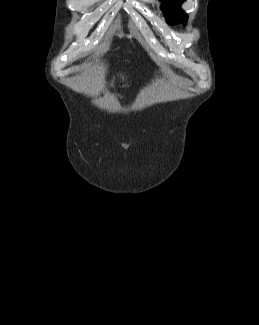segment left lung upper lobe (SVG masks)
Segmentation results:
<instances>
[{"mask_svg":"<svg viewBox=\"0 0 259 325\" xmlns=\"http://www.w3.org/2000/svg\"><path fill=\"white\" fill-rule=\"evenodd\" d=\"M162 2V10L166 17V21L171 24H186L187 14L180 8L185 0H160Z\"/></svg>","mask_w":259,"mask_h":325,"instance_id":"left-lung-upper-lobe-1","label":"left lung upper lobe"}]
</instances>
